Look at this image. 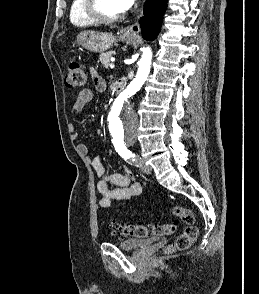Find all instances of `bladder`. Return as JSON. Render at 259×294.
<instances>
[{"label": "bladder", "mask_w": 259, "mask_h": 294, "mask_svg": "<svg viewBox=\"0 0 259 294\" xmlns=\"http://www.w3.org/2000/svg\"><path fill=\"white\" fill-rule=\"evenodd\" d=\"M159 240V236H154L151 238H140V239H126L120 242H117L116 245L119 249L123 251H137L143 248L144 246Z\"/></svg>", "instance_id": "1"}]
</instances>
